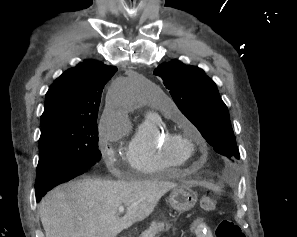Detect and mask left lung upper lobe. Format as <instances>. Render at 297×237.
<instances>
[{
  "instance_id": "obj_1",
  "label": "left lung upper lobe",
  "mask_w": 297,
  "mask_h": 237,
  "mask_svg": "<svg viewBox=\"0 0 297 237\" xmlns=\"http://www.w3.org/2000/svg\"><path fill=\"white\" fill-rule=\"evenodd\" d=\"M154 74L162 78L178 108L217 153L233 162L240 158L227 106L203 70L172 61L159 65Z\"/></svg>"
}]
</instances>
